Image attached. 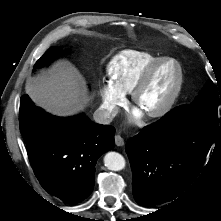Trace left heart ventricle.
I'll use <instances>...</instances> for the list:
<instances>
[{
	"mask_svg": "<svg viewBox=\"0 0 221 221\" xmlns=\"http://www.w3.org/2000/svg\"><path fill=\"white\" fill-rule=\"evenodd\" d=\"M176 80V66L172 62L161 65L156 70L148 87L142 93L138 107L142 111H147L163 104L173 92Z\"/></svg>",
	"mask_w": 221,
	"mask_h": 221,
	"instance_id": "obj_1",
	"label": "left heart ventricle"
}]
</instances>
